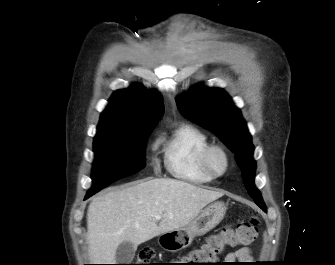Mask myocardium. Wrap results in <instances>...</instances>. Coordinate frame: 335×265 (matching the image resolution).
I'll list each match as a JSON object with an SVG mask.
<instances>
[{"instance_id": "obj_1", "label": "myocardium", "mask_w": 335, "mask_h": 265, "mask_svg": "<svg viewBox=\"0 0 335 265\" xmlns=\"http://www.w3.org/2000/svg\"><path fill=\"white\" fill-rule=\"evenodd\" d=\"M216 153L220 154L224 159V168L221 171L216 170L212 164V157ZM201 164L204 170L214 178L221 177L225 175L230 168V155L225 147L211 144L204 150L201 156Z\"/></svg>"}]
</instances>
